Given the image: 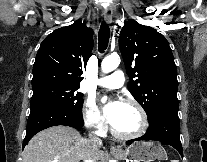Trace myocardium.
<instances>
[{
    "mask_svg": "<svg viewBox=\"0 0 207 162\" xmlns=\"http://www.w3.org/2000/svg\"><path fill=\"white\" fill-rule=\"evenodd\" d=\"M122 103L130 104V105H133L134 107H136V109L139 111L140 116H141V126L135 132L126 134V133H121V132L117 131L112 125H110L111 133L115 137L120 138V139L137 138V137L141 136L148 128L149 119H148L147 112L144 109V107L142 106V104L134 98H131V97L125 98L122 100Z\"/></svg>",
    "mask_w": 207,
    "mask_h": 162,
    "instance_id": "f54148a6",
    "label": "myocardium"
}]
</instances>
